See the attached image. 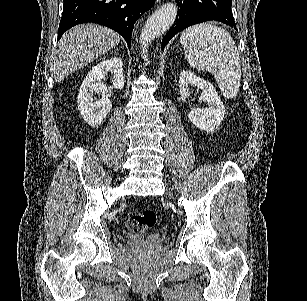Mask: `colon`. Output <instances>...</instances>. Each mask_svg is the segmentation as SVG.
I'll return each instance as SVG.
<instances>
[{
  "mask_svg": "<svg viewBox=\"0 0 307 301\" xmlns=\"http://www.w3.org/2000/svg\"><path fill=\"white\" fill-rule=\"evenodd\" d=\"M156 220V213L147 209L130 216L127 220V227L131 232L141 233L154 227Z\"/></svg>",
  "mask_w": 307,
  "mask_h": 301,
  "instance_id": "5ec220e1",
  "label": "colon"
}]
</instances>
